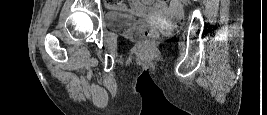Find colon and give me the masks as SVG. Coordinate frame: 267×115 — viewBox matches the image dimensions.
Returning a JSON list of instances; mask_svg holds the SVG:
<instances>
[{
    "label": "colon",
    "instance_id": "5ec220e1",
    "mask_svg": "<svg viewBox=\"0 0 267 115\" xmlns=\"http://www.w3.org/2000/svg\"><path fill=\"white\" fill-rule=\"evenodd\" d=\"M136 36L143 42H152L158 37V31L151 26H146L137 31Z\"/></svg>",
    "mask_w": 267,
    "mask_h": 115
}]
</instances>
